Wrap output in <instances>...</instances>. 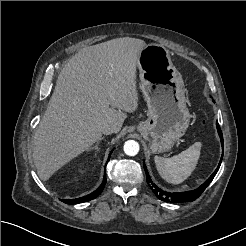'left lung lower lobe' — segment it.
I'll return each mask as SVG.
<instances>
[{"instance_id":"obj_1","label":"left lung lower lobe","mask_w":246,"mask_h":246,"mask_svg":"<svg viewBox=\"0 0 246 246\" xmlns=\"http://www.w3.org/2000/svg\"><path fill=\"white\" fill-rule=\"evenodd\" d=\"M217 125V130H218V134L220 136L221 139V144H222V148H223V136H222V131L220 129V126L218 124V122L216 123ZM223 156V155H222ZM222 162V157L220 159L219 165L217 167V169L213 172V174L208 178V180L203 183L199 188L192 190V191H187V192H179V193H170V192H166L161 190L159 187H157L152 180L150 179V176L147 172L145 163L143 162L144 165V169H145V173H146V179H147V183L150 186V188L152 189V191L154 192V194L162 201L165 202H172V203H182V202H188V201H194L195 199H197L202 192L207 188V186L210 184V182L213 180V178L215 177L216 173L219 170V167L221 165Z\"/></svg>"}]
</instances>
